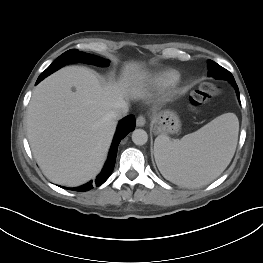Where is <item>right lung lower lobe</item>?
<instances>
[{
    "label": "right lung lower lobe",
    "mask_w": 263,
    "mask_h": 263,
    "mask_svg": "<svg viewBox=\"0 0 263 263\" xmlns=\"http://www.w3.org/2000/svg\"><path fill=\"white\" fill-rule=\"evenodd\" d=\"M61 67L62 66H56V67L50 66V67H48L43 73H41L36 84H38L45 77H47L48 75H50L51 73H53L54 71L58 70ZM134 129H135V117L133 115L127 116L123 120L120 121V123L117 127V130H116L113 142H112V146L110 149V154L108 156V160H107L101 174L95 180L96 186L102 185L108 179V177L110 176V174L112 173V171L114 169L116 155H117V149H118V145H119L120 141L129 132L133 131ZM92 187H93V184H92V181H90L89 183H87L83 186H80L77 188H70V190L88 191Z\"/></svg>",
    "instance_id": "98d812e1"
}]
</instances>
